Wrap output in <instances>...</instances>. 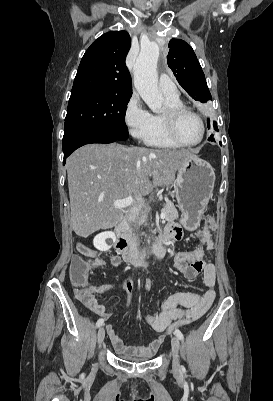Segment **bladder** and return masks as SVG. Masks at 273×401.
<instances>
[{"label":"bladder","mask_w":273,"mask_h":401,"mask_svg":"<svg viewBox=\"0 0 273 401\" xmlns=\"http://www.w3.org/2000/svg\"><path fill=\"white\" fill-rule=\"evenodd\" d=\"M122 360H126V361H148L150 360L153 355H148V356H144V357H131V356H119Z\"/></svg>","instance_id":"obj_1"}]
</instances>
